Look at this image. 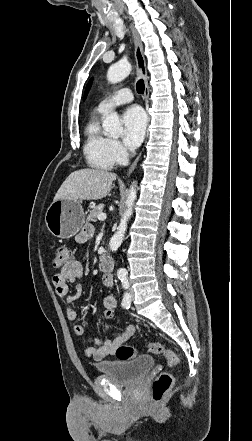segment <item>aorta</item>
Here are the masks:
<instances>
[{
	"mask_svg": "<svg viewBox=\"0 0 252 441\" xmlns=\"http://www.w3.org/2000/svg\"><path fill=\"white\" fill-rule=\"evenodd\" d=\"M131 69H132V67L129 62L119 61L109 67L108 72H107V80L113 84L121 82L130 74ZM102 126H103L104 130L112 137H118L123 131L122 124H121L119 116L116 112H112L109 115H107L103 120ZM136 197H137L136 183L133 182L132 185L130 186V189L128 192V196H127V199L125 202L126 209H125L124 214L121 218L118 230L112 236L110 243H109L110 249L112 251H116L120 247V245L123 241L124 234L127 230L128 221L133 213V206H134ZM126 273H127L126 270L123 268H120L117 271V274L119 276H125Z\"/></svg>",
	"mask_w": 252,
	"mask_h": 441,
	"instance_id": "1",
	"label": "aorta"
}]
</instances>
